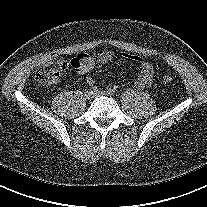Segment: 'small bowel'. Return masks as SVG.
<instances>
[{"label":"small bowel","instance_id":"small-bowel-1","mask_svg":"<svg viewBox=\"0 0 207 207\" xmlns=\"http://www.w3.org/2000/svg\"><path fill=\"white\" fill-rule=\"evenodd\" d=\"M117 56L129 59L138 65L140 74L134 82V86L137 89H145L151 86L153 80V67L150 63L134 55L125 53L116 54L111 51L101 52L96 55L79 54L71 60V66L78 74L85 75L92 71L96 65L107 64ZM86 80L88 84H93L94 82L92 77H87Z\"/></svg>","mask_w":207,"mask_h":207}]
</instances>
